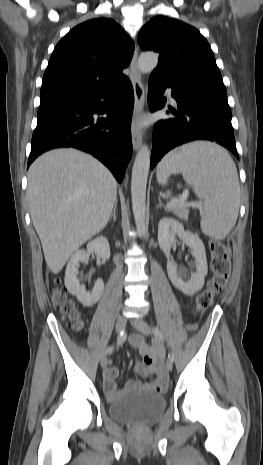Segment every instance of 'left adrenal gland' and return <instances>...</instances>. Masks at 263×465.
I'll return each instance as SVG.
<instances>
[{
	"instance_id": "a2214340",
	"label": "left adrenal gland",
	"mask_w": 263,
	"mask_h": 465,
	"mask_svg": "<svg viewBox=\"0 0 263 465\" xmlns=\"http://www.w3.org/2000/svg\"><path fill=\"white\" fill-rule=\"evenodd\" d=\"M158 201H159V204H158L157 208H162L163 207L167 211V208L162 204V201H161L160 197H158Z\"/></svg>"
}]
</instances>
